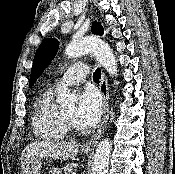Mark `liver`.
<instances>
[{
    "label": "liver",
    "instance_id": "liver-1",
    "mask_svg": "<svg viewBox=\"0 0 175 174\" xmlns=\"http://www.w3.org/2000/svg\"><path fill=\"white\" fill-rule=\"evenodd\" d=\"M79 145L72 142L36 141L28 144L22 154V163L38 157L68 160L77 155Z\"/></svg>",
    "mask_w": 175,
    "mask_h": 174
}]
</instances>
